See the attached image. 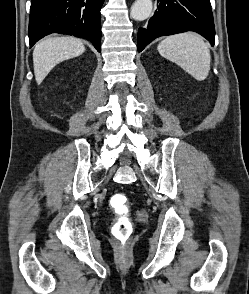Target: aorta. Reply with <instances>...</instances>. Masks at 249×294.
I'll return each mask as SVG.
<instances>
[{
  "label": "aorta",
  "instance_id": "aorta-1",
  "mask_svg": "<svg viewBox=\"0 0 249 294\" xmlns=\"http://www.w3.org/2000/svg\"><path fill=\"white\" fill-rule=\"evenodd\" d=\"M152 9V0H136L131 7L130 15L136 21H143L151 15Z\"/></svg>",
  "mask_w": 249,
  "mask_h": 294
}]
</instances>
